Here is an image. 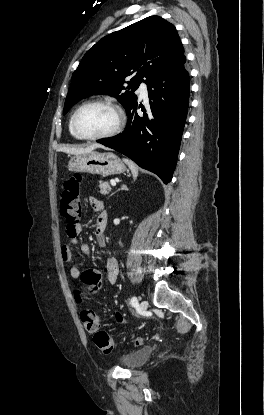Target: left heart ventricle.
Listing matches in <instances>:
<instances>
[{"mask_svg":"<svg viewBox=\"0 0 264 415\" xmlns=\"http://www.w3.org/2000/svg\"><path fill=\"white\" fill-rule=\"evenodd\" d=\"M115 124L116 113L103 105L88 106L77 117V128L85 135H99L109 132Z\"/></svg>","mask_w":264,"mask_h":415,"instance_id":"obj_1","label":"left heart ventricle"}]
</instances>
